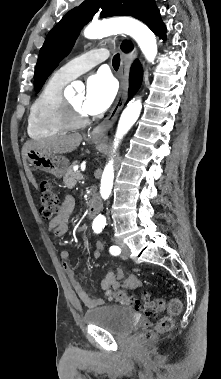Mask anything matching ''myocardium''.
Wrapping results in <instances>:
<instances>
[{
    "mask_svg": "<svg viewBox=\"0 0 221 379\" xmlns=\"http://www.w3.org/2000/svg\"><path fill=\"white\" fill-rule=\"evenodd\" d=\"M62 115L70 128L84 126L89 119L85 112L76 108L69 100H63Z\"/></svg>",
    "mask_w": 221,
    "mask_h": 379,
    "instance_id": "myocardium-1",
    "label": "myocardium"
}]
</instances>
